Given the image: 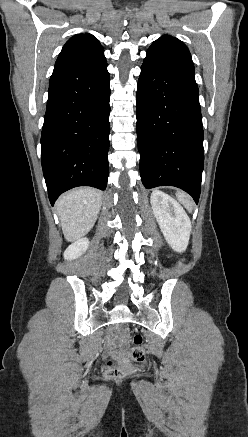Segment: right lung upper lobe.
Instances as JSON below:
<instances>
[{"label":"right lung upper lobe","mask_w":248,"mask_h":437,"mask_svg":"<svg viewBox=\"0 0 248 437\" xmlns=\"http://www.w3.org/2000/svg\"><path fill=\"white\" fill-rule=\"evenodd\" d=\"M104 50L98 40L91 34H77L71 37L60 52L56 66L90 65L97 61L104 60Z\"/></svg>","instance_id":"obj_1"}]
</instances>
